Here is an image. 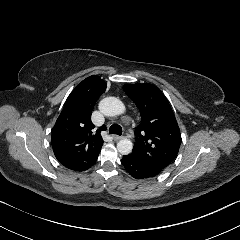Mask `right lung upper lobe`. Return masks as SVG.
<instances>
[{
  "instance_id": "1",
  "label": "right lung upper lobe",
  "mask_w": 240,
  "mask_h": 240,
  "mask_svg": "<svg viewBox=\"0 0 240 240\" xmlns=\"http://www.w3.org/2000/svg\"><path fill=\"white\" fill-rule=\"evenodd\" d=\"M107 84L92 75L80 82L66 100L52 130L51 144L55 157L65 167L84 171L97 160L104 143L91 121L93 107Z\"/></svg>"
}]
</instances>
